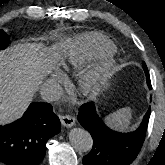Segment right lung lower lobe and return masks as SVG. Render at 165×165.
<instances>
[{"instance_id":"1","label":"right lung lower lobe","mask_w":165,"mask_h":165,"mask_svg":"<svg viewBox=\"0 0 165 165\" xmlns=\"http://www.w3.org/2000/svg\"><path fill=\"white\" fill-rule=\"evenodd\" d=\"M60 132V120L49 103H31L21 119L0 126V162L39 165L47 140Z\"/></svg>"}]
</instances>
